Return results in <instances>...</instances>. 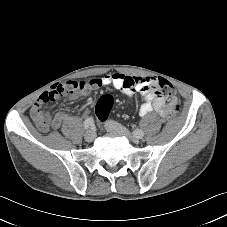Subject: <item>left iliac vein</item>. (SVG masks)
<instances>
[{
  "instance_id": "1",
  "label": "left iliac vein",
  "mask_w": 227,
  "mask_h": 227,
  "mask_svg": "<svg viewBox=\"0 0 227 227\" xmlns=\"http://www.w3.org/2000/svg\"><path fill=\"white\" fill-rule=\"evenodd\" d=\"M105 128L107 131L117 135L125 136L129 140H132V141L137 140L134 136H132V134L125 127H123L122 125H120L115 121H107L105 123Z\"/></svg>"
}]
</instances>
